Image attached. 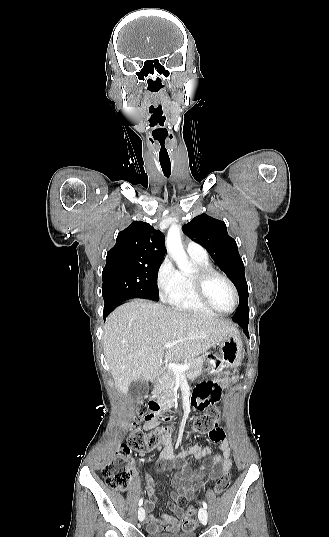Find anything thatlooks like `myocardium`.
<instances>
[{
  "mask_svg": "<svg viewBox=\"0 0 329 537\" xmlns=\"http://www.w3.org/2000/svg\"><path fill=\"white\" fill-rule=\"evenodd\" d=\"M215 277L220 278L224 282H226L227 285L230 287L232 293H233V297H234L233 308L228 312H224V311H221V310L217 309L210 302V300L208 298L207 291H206V285H207V283H208V281L210 279L215 278ZM189 278H190V281H191L192 289H193L196 297L209 310H211V311H213L215 313L221 314V315H229V314H232L237 309L238 304H239L238 291H237L235 285L233 284V282L226 275H224L221 272L213 269L212 267L197 266L195 268V270L193 271V273L189 276Z\"/></svg>",
  "mask_w": 329,
  "mask_h": 537,
  "instance_id": "1",
  "label": "myocardium"
}]
</instances>
